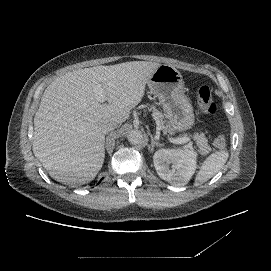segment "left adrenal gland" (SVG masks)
Returning a JSON list of instances; mask_svg holds the SVG:
<instances>
[{
  "label": "left adrenal gland",
  "mask_w": 271,
  "mask_h": 271,
  "mask_svg": "<svg viewBox=\"0 0 271 271\" xmlns=\"http://www.w3.org/2000/svg\"><path fill=\"white\" fill-rule=\"evenodd\" d=\"M150 137H151V150H150V153H153L155 146H157V147H159L161 149L163 148V146L160 144L159 141H155L153 136H150Z\"/></svg>",
  "instance_id": "left-adrenal-gland-1"
}]
</instances>
